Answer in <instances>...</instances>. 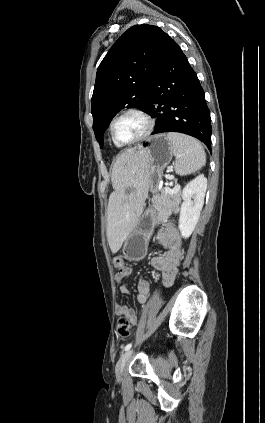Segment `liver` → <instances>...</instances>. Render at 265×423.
Masks as SVG:
<instances>
[{
    "label": "liver",
    "instance_id": "1",
    "mask_svg": "<svg viewBox=\"0 0 265 423\" xmlns=\"http://www.w3.org/2000/svg\"><path fill=\"white\" fill-rule=\"evenodd\" d=\"M111 181L114 192L108 202L107 238L116 253L133 230L148 196V154L137 147L126 149L113 165Z\"/></svg>",
    "mask_w": 265,
    "mask_h": 423
}]
</instances>
